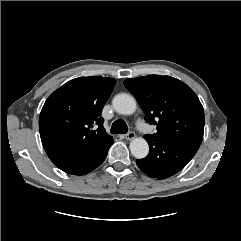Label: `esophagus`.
Masks as SVG:
<instances>
[{
    "label": "esophagus",
    "instance_id": "esophagus-1",
    "mask_svg": "<svg viewBox=\"0 0 241 241\" xmlns=\"http://www.w3.org/2000/svg\"><path fill=\"white\" fill-rule=\"evenodd\" d=\"M136 137V134L134 133V132H129V133H127L126 135H125V138L127 139V140H132V139H134Z\"/></svg>",
    "mask_w": 241,
    "mask_h": 241
}]
</instances>
